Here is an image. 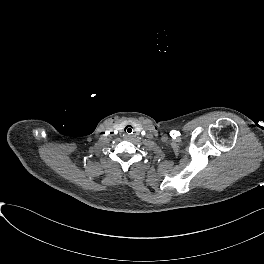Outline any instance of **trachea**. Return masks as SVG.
<instances>
[{
  "instance_id": "trachea-1",
  "label": "trachea",
  "mask_w": 264,
  "mask_h": 264,
  "mask_svg": "<svg viewBox=\"0 0 264 264\" xmlns=\"http://www.w3.org/2000/svg\"><path fill=\"white\" fill-rule=\"evenodd\" d=\"M124 131L127 135H131L133 133V126L132 125H127L125 128H124Z\"/></svg>"
}]
</instances>
